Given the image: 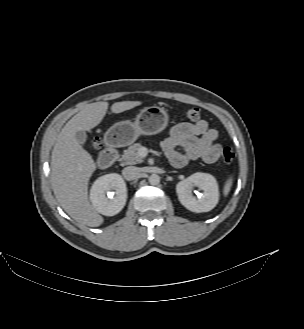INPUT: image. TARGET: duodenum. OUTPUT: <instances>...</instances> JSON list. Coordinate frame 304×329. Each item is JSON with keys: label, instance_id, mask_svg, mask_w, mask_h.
<instances>
[{"label": "duodenum", "instance_id": "410a0bca", "mask_svg": "<svg viewBox=\"0 0 304 329\" xmlns=\"http://www.w3.org/2000/svg\"><path fill=\"white\" fill-rule=\"evenodd\" d=\"M117 158V149L112 145H107L99 157V165L101 168H108Z\"/></svg>", "mask_w": 304, "mask_h": 329}]
</instances>
